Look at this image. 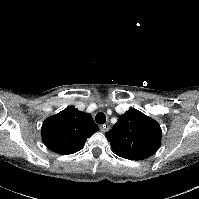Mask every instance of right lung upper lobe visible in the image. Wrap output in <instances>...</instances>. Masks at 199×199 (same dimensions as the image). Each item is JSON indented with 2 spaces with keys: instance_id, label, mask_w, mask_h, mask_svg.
<instances>
[{
  "instance_id": "1",
  "label": "right lung upper lobe",
  "mask_w": 199,
  "mask_h": 199,
  "mask_svg": "<svg viewBox=\"0 0 199 199\" xmlns=\"http://www.w3.org/2000/svg\"><path fill=\"white\" fill-rule=\"evenodd\" d=\"M99 127L92 116L73 106L47 118L42 125V140L52 151L59 154H73L79 151L87 138Z\"/></svg>"
}]
</instances>
